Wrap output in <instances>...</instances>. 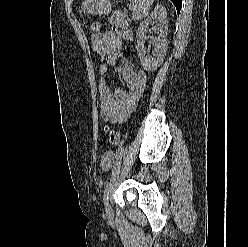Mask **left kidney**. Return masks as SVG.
<instances>
[{"label": "left kidney", "instance_id": "1", "mask_svg": "<svg viewBox=\"0 0 248 247\" xmlns=\"http://www.w3.org/2000/svg\"><path fill=\"white\" fill-rule=\"evenodd\" d=\"M149 24L154 25V29L158 35L153 39L155 49L153 51V56L151 57L146 56V50L144 48L146 40L145 34ZM167 29V12L165 7L162 5H157L151 15L140 23L136 33V50L141 64L145 70H155L163 63L168 45L166 38Z\"/></svg>", "mask_w": 248, "mask_h": 247}]
</instances>
